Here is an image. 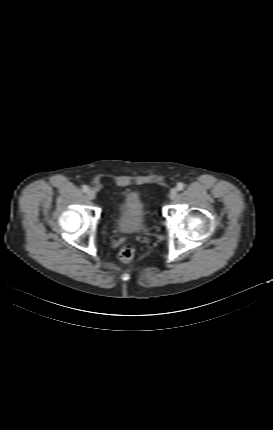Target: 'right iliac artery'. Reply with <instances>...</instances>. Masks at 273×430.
<instances>
[{"label":"right iliac artery","mask_w":273,"mask_h":430,"mask_svg":"<svg viewBox=\"0 0 273 430\" xmlns=\"http://www.w3.org/2000/svg\"><path fill=\"white\" fill-rule=\"evenodd\" d=\"M89 190V187L87 186V185H84L83 187H82V191L83 192H87Z\"/></svg>","instance_id":"right-iliac-artery-1"}]
</instances>
